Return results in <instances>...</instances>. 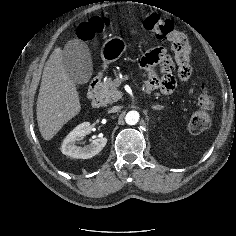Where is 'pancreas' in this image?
I'll return each instance as SVG.
<instances>
[{
    "instance_id": "pancreas-1",
    "label": "pancreas",
    "mask_w": 236,
    "mask_h": 236,
    "mask_svg": "<svg viewBox=\"0 0 236 236\" xmlns=\"http://www.w3.org/2000/svg\"><path fill=\"white\" fill-rule=\"evenodd\" d=\"M120 84L108 78L99 86L98 97L104 103H113L121 99L122 93L117 89Z\"/></svg>"
}]
</instances>
